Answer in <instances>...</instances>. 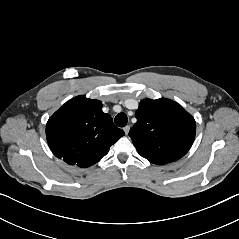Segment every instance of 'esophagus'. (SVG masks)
<instances>
[{
  "instance_id": "1",
  "label": "esophagus",
  "mask_w": 239,
  "mask_h": 239,
  "mask_svg": "<svg viewBox=\"0 0 239 239\" xmlns=\"http://www.w3.org/2000/svg\"><path fill=\"white\" fill-rule=\"evenodd\" d=\"M123 130H124L125 134L128 135L130 126L129 125L125 126Z\"/></svg>"
}]
</instances>
